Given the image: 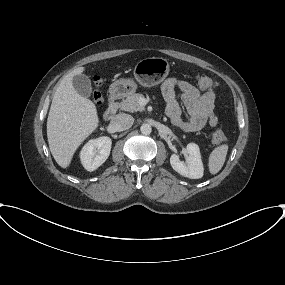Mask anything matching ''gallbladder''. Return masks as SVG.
I'll return each instance as SVG.
<instances>
[{
  "label": "gallbladder",
  "mask_w": 285,
  "mask_h": 285,
  "mask_svg": "<svg viewBox=\"0 0 285 285\" xmlns=\"http://www.w3.org/2000/svg\"><path fill=\"white\" fill-rule=\"evenodd\" d=\"M73 86L75 90L84 97H90L91 95V81L88 76L84 74H78L73 77Z\"/></svg>",
  "instance_id": "obj_1"
}]
</instances>
